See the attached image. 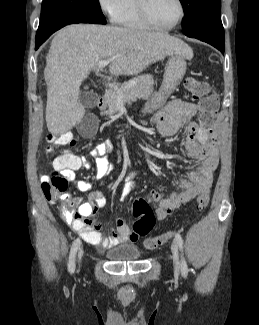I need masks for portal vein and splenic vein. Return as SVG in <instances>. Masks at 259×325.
Returning a JSON list of instances; mask_svg holds the SVG:
<instances>
[{"label": "portal vein and splenic vein", "mask_w": 259, "mask_h": 325, "mask_svg": "<svg viewBox=\"0 0 259 325\" xmlns=\"http://www.w3.org/2000/svg\"><path fill=\"white\" fill-rule=\"evenodd\" d=\"M110 63V60H103V61H100L96 67V71L106 67L108 64ZM132 84H134L133 82L129 84V86H131ZM107 86L110 88V89H113L114 91L116 92H120V89L118 87H116L115 85H113L112 83H108Z\"/></svg>", "instance_id": "1"}]
</instances>
